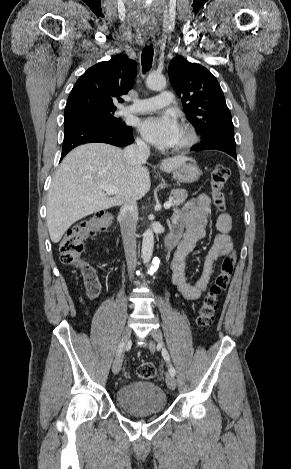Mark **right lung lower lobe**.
<instances>
[{
  "label": "right lung lower lobe",
  "instance_id": "98d812e1",
  "mask_svg": "<svg viewBox=\"0 0 291 469\" xmlns=\"http://www.w3.org/2000/svg\"><path fill=\"white\" fill-rule=\"evenodd\" d=\"M132 128L129 126H106L79 122L65 126L61 159L73 148L85 143H108L124 147L133 143Z\"/></svg>",
  "mask_w": 291,
  "mask_h": 469
}]
</instances>
